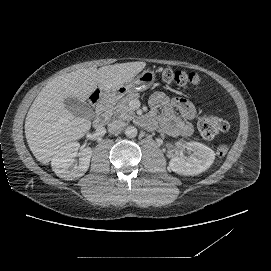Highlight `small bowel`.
Instances as JSON below:
<instances>
[{"mask_svg": "<svg viewBox=\"0 0 271 271\" xmlns=\"http://www.w3.org/2000/svg\"><path fill=\"white\" fill-rule=\"evenodd\" d=\"M149 103L153 110L152 117L158 120L165 132L172 136H190L194 133L192 120L195 119L197 110L190 101L155 92Z\"/></svg>", "mask_w": 271, "mask_h": 271, "instance_id": "obj_1", "label": "small bowel"}]
</instances>
